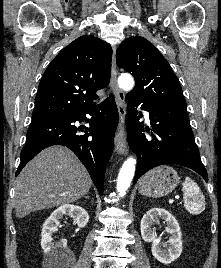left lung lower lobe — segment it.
Returning <instances> with one entry per match:
<instances>
[{
    "label": "left lung lower lobe",
    "instance_id": "left-lung-lower-lobe-1",
    "mask_svg": "<svg viewBox=\"0 0 221 268\" xmlns=\"http://www.w3.org/2000/svg\"><path fill=\"white\" fill-rule=\"evenodd\" d=\"M128 144L137 154L138 162L134 183L150 169L164 164L182 165L199 173L205 181L208 175L195 143L186 108L161 106L142 102L126 95ZM149 112L151 133L139 122L136 107ZM148 132L145 135L142 132Z\"/></svg>",
    "mask_w": 221,
    "mask_h": 268
}]
</instances>
